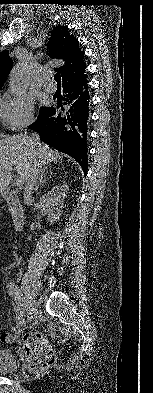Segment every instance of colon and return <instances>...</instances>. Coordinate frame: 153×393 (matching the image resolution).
<instances>
[{
    "mask_svg": "<svg viewBox=\"0 0 153 393\" xmlns=\"http://www.w3.org/2000/svg\"><path fill=\"white\" fill-rule=\"evenodd\" d=\"M38 337H40V335H38ZM37 341V340H36ZM39 341V340H38ZM27 347L29 348L30 347V344H29V342H28V339H27Z\"/></svg>",
    "mask_w": 153,
    "mask_h": 393,
    "instance_id": "5ec220e1",
    "label": "colon"
}]
</instances>
